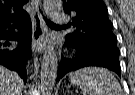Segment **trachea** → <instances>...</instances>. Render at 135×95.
<instances>
[{
    "label": "trachea",
    "instance_id": "1",
    "mask_svg": "<svg viewBox=\"0 0 135 95\" xmlns=\"http://www.w3.org/2000/svg\"><path fill=\"white\" fill-rule=\"evenodd\" d=\"M44 19H45V21H46V23H47L48 25L59 26V25L53 23L52 21L48 20L46 17H44Z\"/></svg>",
    "mask_w": 135,
    "mask_h": 95
}]
</instances>
